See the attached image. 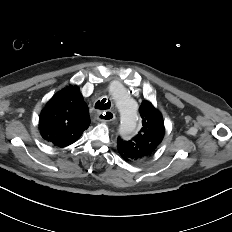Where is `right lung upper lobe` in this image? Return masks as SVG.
Returning a JSON list of instances; mask_svg holds the SVG:
<instances>
[{"label":"right lung upper lobe","mask_w":232,"mask_h":232,"mask_svg":"<svg viewBox=\"0 0 232 232\" xmlns=\"http://www.w3.org/2000/svg\"><path fill=\"white\" fill-rule=\"evenodd\" d=\"M89 125L88 107L73 85L56 93L39 116L42 138L60 148L78 140Z\"/></svg>","instance_id":"cb5924a9"}]
</instances>
